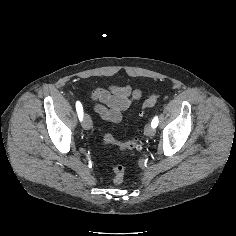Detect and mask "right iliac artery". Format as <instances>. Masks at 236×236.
I'll return each instance as SVG.
<instances>
[{
	"mask_svg": "<svg viewBox=\"0 0 236 236\" xmlns=\"http://www.w3.org/2000/svg\"><path fill=\"white\" fill-rule=\"evenodd\" d=\"M76 110L79 116V119L82 120L83 118V107L80 102H76Z\"/></svg>",
	"mask_w": 236,
	"mask_h": 236,
	"instance_id": "right-iliac-artery-1",
	"label": "right iliac artery"
}]
</instances>
